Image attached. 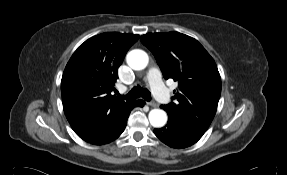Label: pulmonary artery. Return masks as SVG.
I'll return each instance as SVG.
<instances>
[{
	"label": "pulmonary artery",
	"instance_id": "pulmonary-artery-1",
	"mask_svg": "<svg viewBox=\"0 0 287 175\" xmlns=\"http://www.w3.org/2000/svg\"><path fill=\"white\" fill-rule=\"evenodd\" d=\"M146 80L148 81L155 98L163 104L170 103V94L161 81L160 72L157 68H151Z\"/></svg>",
	"mask_w": 287,
	"mask_h": 175
}]
</instances>
